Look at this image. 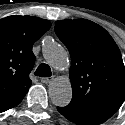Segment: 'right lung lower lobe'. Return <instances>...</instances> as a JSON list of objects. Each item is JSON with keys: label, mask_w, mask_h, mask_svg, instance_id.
I'll return each instance as SVG.
<instances>
[{"label": "right lung lower lobe", "mask_w": 125, "mask_h": 125, "mask_svg": "<svg viewBox=\"0 0 125 125\" xmlns=\"http://www.w3.org/2000/svg\"><path fill=\"white\" fill-rule=\"evenodd\" d=\"M19 103L20 102H16V103H13V104H10V105L1 106L0 107V113L6 111V110H8V109H10V108H12V107H14L16 105H18Z\"/></svg>", "instance_id": "1"}]
</instances>
